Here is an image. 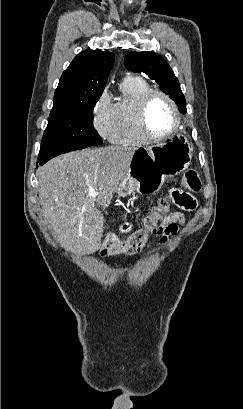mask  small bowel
I'll use <instances>...</instances> for the list:
<instances>
[{
    "instance_id": "small-bowel-1",
    "label": "small bowel",
    "mask_w": 243,
    "mask_h": 409,
    "mask_svg": "<svg viewBox=\"0 0 243 409\" xmlns=\"http://www.w3.org/2000/svg\"><path fill=\"white\" fill-rule=\"evenodd\" d=\"M181 194L189 201L187 206H179L180 209L173 210L164 220L163 225L166 228V232L161 236V242L165 243L171 236L175 235L178 231V225H183L185 223V216L182 210H193L197 201L196 198L188 193L178 190L177 188H172L170 190V196Z\"/></svg>"
}]
</instances>
